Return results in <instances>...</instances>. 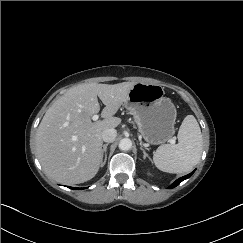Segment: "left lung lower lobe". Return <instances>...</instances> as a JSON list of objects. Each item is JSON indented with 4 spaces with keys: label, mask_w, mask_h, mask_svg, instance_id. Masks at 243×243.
Masks as SVG:
<instances>
[{
    "label": "left lung lower lobe",
    "mask_w": 243,
    "mask_h": 243,
    "mask_svg": "<svg viewBox=\"0 0 243 243\" xmlns=\"http://www.w3.org/2000/svg\"><path fill=\"white\" fill-rule=\"evenodd\" d=\"M194 171H195V170H194ZM194 171L191 172L190 174H188V175H186V176H184V177H181V178H179L178 180H176L174 183L171 184V186H170L169 188H174V187H176L177 185H179L183 180L188 179V178L194 173Z\"/></svg>",
    "instance_id": "1"
}]
</instances>
